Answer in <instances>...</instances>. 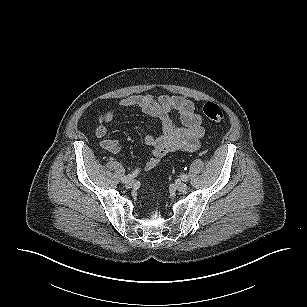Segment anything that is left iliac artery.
Returning <instances> with one entry per match:
<instances>
[{
    "instance_id": "obj_1",
    "label": "left iliac artery",
    "mask_w": 307,
    "mask_h": 307,
    "mask_svg": "<svg viewBox=\"0 0 307 307\" xmlns=\"http://www.w3.org/2000/svg\"><path fill=\"white\" fill-rule=\"evenodd\" d=\"M181 179H182L183 181H185V182H187V181L189 180L188 176L185 175V174L181 175Z\"/></svg>"
}]
</instances>
